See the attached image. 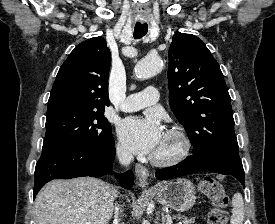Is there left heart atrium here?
<instances>
[{"mask_svg": "<svg viewBox=\"0 0 275 224\" xmlns=\"http://www.w3.org/2000/svg\"><path fill=\"white\" fill-rule=\"evenodd\" d=\"M118 135L125 148L136 154H154L165 137L161 122L154 114L122 120Z\"/></svg>", "mask_w": 275, "mask_h": 224, "instance_id": "1", "label": "left heart atrium"}]
</instances>
